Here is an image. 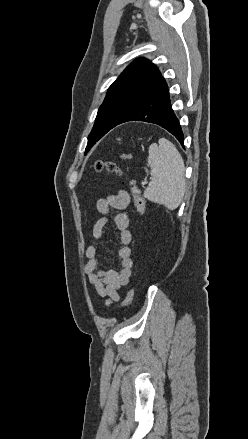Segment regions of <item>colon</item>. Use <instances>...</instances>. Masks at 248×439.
I'll return each mask as SVG.
<instances>
[{"mask_svg": "<svg viewBox=\"0 0 248 439\" xmlns=\"http://www.w3.org/2000/svg\"><path fill=\"white\" fill-rule=\"evenodd\" d=\"M94 169L97 172L106 170L107 172L114 174V175H117L119 177L123 176V171L120 168V166L117 165L115 162L110 161V160H97L94 163ZM127 182L130 186V191H131V194L134 198V203H135V206H136L138 212L141 215H144L146 213V205H145L144 199L141 196V193H140V190L138 188L136 181L134 179H127ZM134 291H135L134 288H130L127 291L125 298L123 300V304H122L124 308L128 307L131 304L133 296H134Z\"/></svg>", "mask_w": 248, "mask_h": 439, "instance_id": "1", "label": "colon"}]
</instances>
